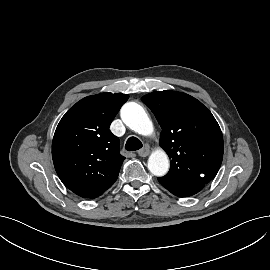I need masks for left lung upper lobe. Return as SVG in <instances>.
<instances>
[{"mask_svg": "<svg viewBox=\"0 0 270 270\" xmlns=\"http://www.w3.org/2000/svg\"><path fill=\"white\" fill-rule=\"evenodd\" d=\"M142 101L157 118L160 146L171 159L169 172L158 181L169 191L201 190L216 176L223 158V136L214 116L181 92H153Z\"/></svg>", "mask_w": 270, "mask_h": 270, "instance_id": "obj_1", "label": "left lung upper lobe"}]
</instances>
